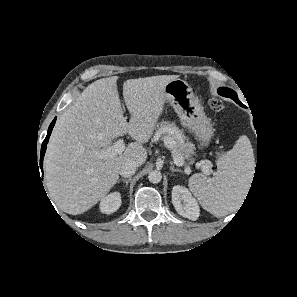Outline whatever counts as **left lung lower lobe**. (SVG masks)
I'll return each mask as SVG.
<instances>
[{
  "instance_id": "1",
  "label": "left lung lower lobe",
  "mask_w": 297,
  "mask_h": 297,
  "mask_svg": "<svg viewBox=\"0 0 297 297\" xmlns=\"http://www.w3.org/2000/svg\"><path fill=\"white\" fill-rule=\"evenodd\" d=\"M236 103H238V104H240L242 107H244V105H243L240 101L236 100Z\"/></svg>"
}]
</instances>
